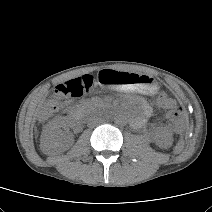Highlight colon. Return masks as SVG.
<instances>
[{"mask_svg":"<svg viewBox=\"0 0 212 212\" xmlns=\"http://www.w3.org/2000/svg\"><path fill=\"white\" fill-rule=\"evenodd\" d=\"M97 83L101 84L98 80V75L86 74L58 84L55 88L53 98L40 111L41 119H46L57 110L62 99L66 97L78 98L88 94ZM157 101L161 107L168 109L170 120L176 125H179L184 116V108L176 100L168 97L163 92L158 95Z\"/></svg>","mask_w":212,"mask_h":212,"instance_id":"5ec220e1","label":"colon"}]
</instances>
